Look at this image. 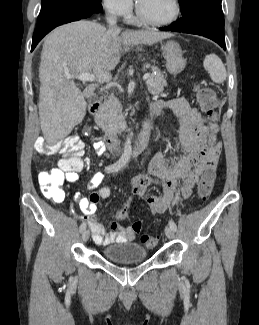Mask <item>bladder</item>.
<instances>
[{"instance_id":"obj_1","label":"bladder","mask_w":259,"mask_h":325,"mask_svg":"<svg viewBox=\"0 0 259 325\" xmlns=\"http://www.w3.org/2000/svg\"><path fill=\"white\" fill-rule=\"evenodd\" d=\"M104 257L118 264L142 262L147 258V250L136 242L114 243L103 249Z\"/></svg>"}]
</instances>
